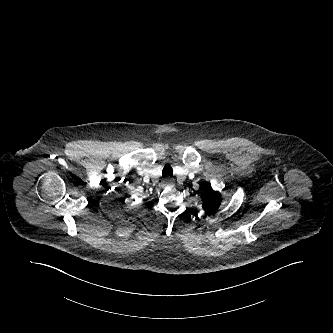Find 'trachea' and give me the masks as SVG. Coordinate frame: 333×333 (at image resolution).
I'll return each mask as SVG.
<instances>
[{
	"instance_id": "trachea-1",
	"label": "trachea",
	"mask_w": 333,
	"mask_h": 333,
	"mask_svg": "<svg viewBox=\"0 0 333 333\" xmlns=\"http://www.w3.org/2000/svg\"><path fill=\"white\" fill-rule=\"evenodd\" d=\"M163 177H172L173 176V169L169 164H166L162 170Z\"/></svg>"
}]
</instances>
